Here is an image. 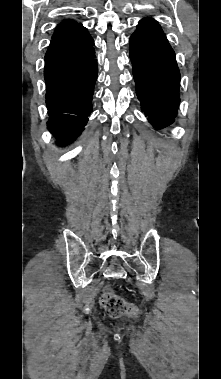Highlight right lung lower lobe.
<instances>
[{
	"instance_id": "right-lung-lower-lobe-1",
	"label": "right lung lower lobe",
	"mask_w": 221,
	"mask_h": 379,
	"mask_svg": "<svg viewBox=\"0 0 221 379\" xmlns=\"http://www.w3.org/2000/svg\"><path fill=\"white\" fill-rule=\"evenodd\" d=\"M93 45L92 37L80 24L52 38L45 55L48 128L62 145L81 133L92 112L97 78Z\"/></svg>"
}]
</instances>
